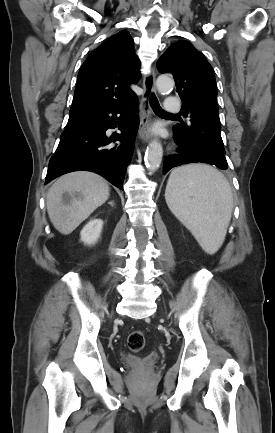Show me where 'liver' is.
I'll return each mask as SVG.
<instances>
[{
	"mask_svg": "<svg viewBox=\"0 0 275 433\" xmlns=\"http://www.w3.org/2000/svg\"><path fill=\"white\" fill-rule=\"evenodd\" d=\"M64 194L68 197L66 201ZM109 195L108 184L95 173L77 171L65 174L55 181L47 193L50 221L61 234L68 235L104 204Z\"/></svg>",
	"mask_w": 275,
	"mask_h": 433,
	"instance_id": "1",
	"label": "liver"
}]
</instances>
